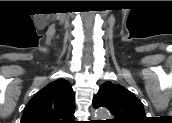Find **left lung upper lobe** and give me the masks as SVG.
Returning a JSON list of instances; mask_svg holds the SVG:
<instances>
[{"mask_svg": "<svg viewBox=\"0 0 172 123\" xmlns=\"http://www.w3.org/2000/svg\"><path fill=\"white\" fill-rule=\"evenodd\" d=\"M93 106L106 107L114 116L111 123H143L147 120L142 102L119 84L104 83L93 99Z\"/></svg>", "mask_w": 172, "mask_h": 123, "instance_id": "5c2ea615", "label": "left lung upper lobe"}]
</instances>
